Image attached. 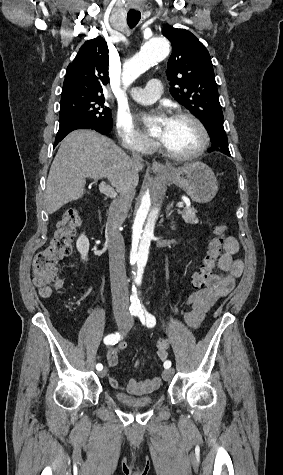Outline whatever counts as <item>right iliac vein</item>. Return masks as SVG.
I'll use <instances>...</instances> for the list:
<instances>
[{
  "mask_svg": "<svg viewBox=\"0 0 283 475\" xmlns=\"http://www.w3.org/2000/svg\"><path fill=\"white\" fill-rule=\"evenodd\" d=\"M116 323H117L118 326H125L127 324V317H123V316L116 317ZM106 372H107V370L103 369L99 373V376L104 377L106 375Z\"/></svg>",
  "mask_w": 283,
  "mask_h": 475,
  "instance_id": "63e3f726",
  "label": "right iliac vein"
}]
</instances>
